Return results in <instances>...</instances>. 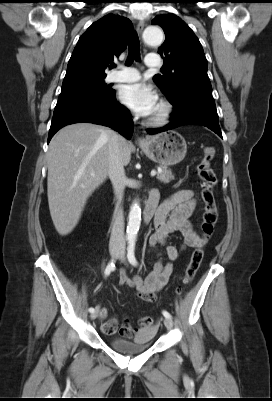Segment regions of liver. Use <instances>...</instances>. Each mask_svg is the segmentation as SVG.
Wrapping results in <instances>:
<instances>
[{
  "instance_id": "6515ba94",
  "label": "liver",
  "mask_w": 272,
  "mask_h": 401,
  "mask_svg": "<svg viewBox=\"0 0 272 401\" xmlns=\"http://www.w3.org/2000/svg\"><path fill=\"white\" fill-rule=\"evenodd\" d=\"M112 130L91 123L62 128L47 153V195L50 215L60 235L77 225L88 197L108 177ZM123 165L131 160V146L120 136Z\"/></svg>"
}]
</instances>
